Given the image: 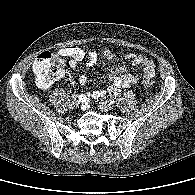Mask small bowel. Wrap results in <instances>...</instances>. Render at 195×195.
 Instances as JSON below:
<instances>
[{
    "mask_svg": "<svg viewBox=\"0 0 195 195\" xmlns=\"http://www.w3.org/2000/svg\"><path fill=\"white\" fill-rule=\"evenodd\" d=\"M60 57L69 59V66L76 68L81 61L86 60L88 66H93L98 59V55L94 50L85 52L80 47L70 46L59 50ZM104 56L108 60L114 58V54L110 50L104 51ZM126 59L138 69L132 73H129L124 65H119L113 68L109 74V80L111 84L105 89H97L90 91L81 97L84 106L92 100L103 97L106 93L111 95H117L122 88L132 86L137 80L143 76L145 79H151L155 74V65L152 60L142 54L129 53L126 55ZM87 82L86 76L79 77V83L84 85Z\"/></svg>",
    "mask_w": 195,
    "mask_h": 195,
    "instance_id": "small-bowel-1",
    "label": "small bowel"
}]
</instances>
